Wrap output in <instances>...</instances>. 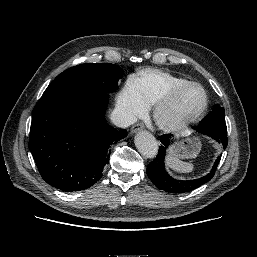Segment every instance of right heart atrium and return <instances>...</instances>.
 Instances as JSON below:
<instances>
[{"label":"right heart atrium","mask_w":257,"mask_h":257,"mask_svg":"<svg viewBox=\"0 0 257 257\" xmlns=\"http://www.w3.org/2000/svg\"><path fill=\"white\" fill-rule=\"evenodd\" d=\"M117 105L125 119L130 122L144 115L149 109L134 78H129L121 88L117 97Z\"/></svg>","instance_id":"1"}]
</instances>
